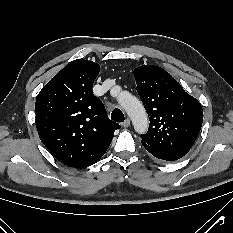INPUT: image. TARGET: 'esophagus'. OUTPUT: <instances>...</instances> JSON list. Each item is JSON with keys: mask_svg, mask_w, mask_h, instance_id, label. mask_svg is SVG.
<instances>
[{"mask_svg": "<svg viewBox=\"0 0 233 233\" xmlns=\"http://www.w3.org/2000/svg\"><path fill=\"white\" fill-rule=\"evenodd\" d=\"M122 127L127 128L130 125V120L127 118L124 122L121 123Z\"/></svg>", "mask_w": 233, "mask_h": 233, "instance_id": "esophagus-1", "label": "esophagus"}]
</instances>
